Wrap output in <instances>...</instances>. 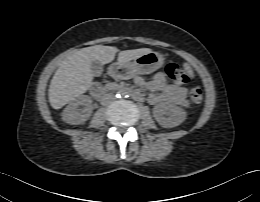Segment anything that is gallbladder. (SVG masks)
I'll use <instances>...</instances> for the list:
<instances>
[{
    "mask_svg": "<svg viewBox=\"0 0 260 202\" xmlns=\"http://www.w3.org/2000/svg\"><path fill=\"white\" fill-rule=\"evenodd\" d=\"M93 76H100L103 72V66L98 60H93L90 65Z\"/></svg>",
    "mask_w": 260,
    "mask_h": 202,
    "instance_id": "obj_1",
    "label": "gallbladder"
}]
</instances>
